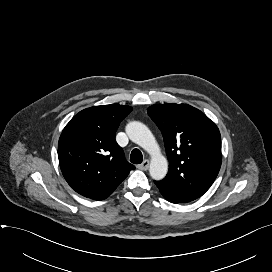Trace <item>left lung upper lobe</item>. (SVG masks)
Segmentation results:
<instances>
[{
  "label": "left lung upper lobe",
  "mask_w": 272,
  "mask_h": 272,
  "mask_svg": "<svg viewBox=\"0 0 272 272\" xmlns=\"http://www.w3.org/2000/svg\"><path fill=\"white\" fill-rule=\"evenodd\" d=\"M147 113L163 134L169 160V172L157 186L161 194L202 196L221 167L219 129L203 112L187 104H155Z\"/></svg>",
  "instance_id": "left-lung-upper-lobe-1"
}]
</instances>
